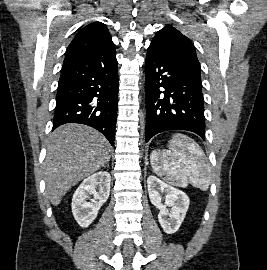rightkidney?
Listing matches in <instances>:
<instances>
[{"label": "right kidney", "instance_id": "1", "mask_svg": "<svg viewBox=\"0 0 267 270\" xmlns=\"http://www.w3.org/2000/svg\"><path fill=\"white\" fill-rule=\"evenodd\" d=\"M110 183V174L100 171L87 177L75 191L71 207L73 216L81 227H88L97 217L100 207L109 197Z\"/></svg>", "mask_w": 267, "mask_h": 270}]
</instances>
